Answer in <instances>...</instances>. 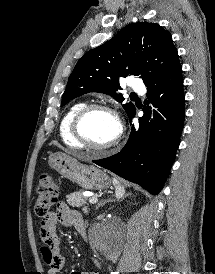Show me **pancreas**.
Returning <instances> with one entry per match:
<instances>
[{
	"label": "pancreas",
	"instance_id": "1",
	"mask_svg": "<svg viewBox=\"0 0 215 274\" xmlns=\"http://www.w3.org/2000/svg\"><path fill=\"white\" fill-rule=\"evenodd\" d=\"M67 203L72 207L84 206L82 210L84 213H88V208L85 206L87 204V198L83 195L82 190L67 195Z\"/></svg>",
	"mask_w": 215,
	"mask_h": 274
}]
</instances>
